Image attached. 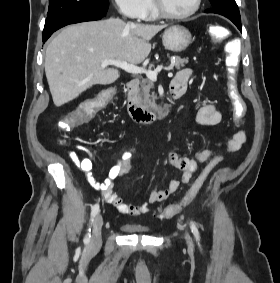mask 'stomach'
I'll return each mask as SVG.
<instances>
[{
  "label": "stomach",
  "mask_w": 280,
  "mask_h": 283,
  "mask_svg": "<svg viewBox=\"0 0 280 283\" xmlns=\"http://www.w3.org/2000/svg\"><path fill=\"white\" fill-rule=\"evenodd\" d=\"M192 42V36L188 29L180 25L168 27L162 36L165 49L178 53L184 51Z\"/></svg>",
  "instance_id": "1"
}]
</instances>
